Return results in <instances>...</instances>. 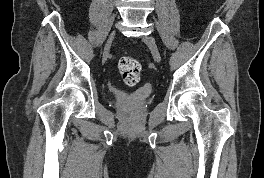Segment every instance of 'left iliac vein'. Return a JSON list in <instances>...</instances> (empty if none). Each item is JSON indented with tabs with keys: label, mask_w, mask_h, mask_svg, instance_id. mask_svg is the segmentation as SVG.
<instances>
[{
	"label": "left iliac vein",
	"mask_w": 264,
	"mask_h": 178,
	"mask_svg": "<svg viewBox=\"0 0 264 178\" xmlns=\"http://www.w3.org/2000/svg\"><path fill=\"white\" fill-rule=\"evenodd\" d=\"M143 41L150 49L155 61L159 62L161 60V56H160V53H159V50L157 48L154 38L151 36H146L143 38Z\"/></svg>",
	"instance_id": "left-iliac-vein-1"
}]
</instances>
